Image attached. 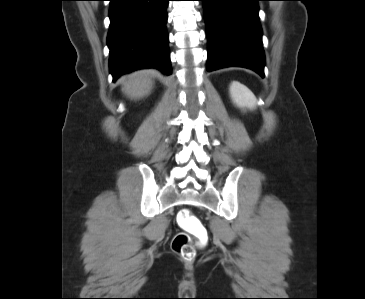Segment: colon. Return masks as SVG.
<instances>
[{
    "instance_id": "1",
    "label": "colon",
    "mask_w": 365,
    "mask_h": 299,
    "mask_svg": "<svg viewBox=\"0 0 365 299\" xmlns=\"http://www.w3.org/2000/svg\"><path fill=\"white\" fill-rule=\"evenodd\" d=\"M177 224L182 232L177 233L171 242L172 250L186 260H192L196 255L194 238L200 245L208 240V233L202 222L190 210L182 209L177 215Z\"/></svg>"
}]
</instances>
